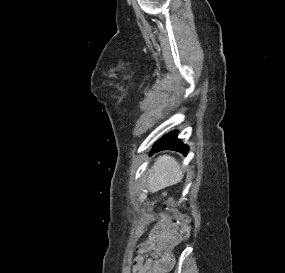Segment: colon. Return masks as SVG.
Masks as SVG:
<instances>
[{"label":"colon","mask_w":285,"mask_h":273,"mask_svg":"<svg viewBox=\"0 0 285 273\" xmlns=\"http://www.w3.org/2000/svg\"><path fill=\"white\" fill-rule=\"evenodd\" d=\"M165 195V194H164ZM162 207L165 211L172 212L174 215V224L183 239H187L191 232L190 220L187 214L176 209L175 202L171 198L163 201Z\"/></svg>","instance_id":"obj_1"}]
</instances>
